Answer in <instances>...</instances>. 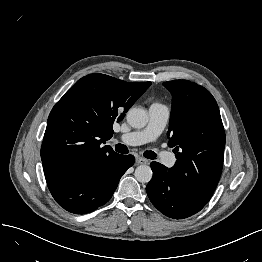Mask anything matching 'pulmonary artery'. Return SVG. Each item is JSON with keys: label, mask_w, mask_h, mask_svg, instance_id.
I'll use <instances>...</instances> for the list:
<instances>
[{"label": "pulmonary artery", "mask_w": 262, "mask_h": 262, "mask_svg": "<svg viewBox=\"0 0 262 262\" xmlns=\"http://www.w3.org/2000/svg\"><path fill=\"white\" fill-rule=\"evenodd\" d=\"M148 116L149 121L144 129L122 134L120 139L132 146L143 145L154 141L166 126L169 109L164 104L153 103L149 107ZM159 157L165 166L171 167L175 163L174 156L171 153H161Z\"/></svg>", "instance_id": "pulmonary-artery-1"}]
</instances>
